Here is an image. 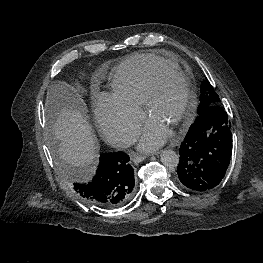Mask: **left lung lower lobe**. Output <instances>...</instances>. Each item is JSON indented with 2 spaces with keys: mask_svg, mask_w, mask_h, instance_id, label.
<instances>
[{
  "mask_svg": "<svg viewBox=\"0 0 263 263\" xmlns=\"http://www.w3.org/2000/svg\"><path fill=\"white\" fill-rule=\"evenodd\" d=\"M231 123L226 112L212 106L189 128L179 148L177 174L181 183L194 191H208L217 186L230 163Z\"/></svg>",
  "mask_w": 263,
  "mask_h": 263,
  "instance_id": "obj_1",
  "label": "left lung lower lobe"
}]
</instances>
